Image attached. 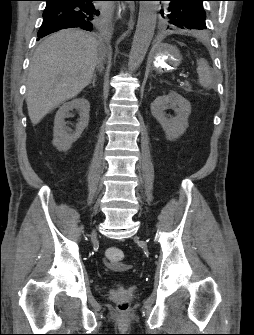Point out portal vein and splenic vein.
<instances>
[{"mask_svg":"<svg viewBox=\"0 0 254 335\" xmlns=\"http://www.w3.org/2000/svg\"><path fill=\"white\" fill-rule=\"evenodd\" d=\"M183 77L184 78H188V74H183Z\"/></svg>","mask_w":254,"mask_h":335,"instance_id":"portal-vein-and-splenic-vein-1","label":"portal vein and splenic vein"}]
</instances>
